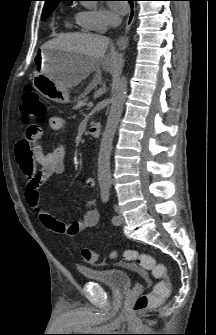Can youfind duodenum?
Returning a JSON list of instances; mask_svg holds the SVG:
<instances>
[{"label":"duodenum","mask_w":216,"mask_h":335,"mask_svg":"<svg viewBox=\"0 0 216 335\" xmlns=\"http://www.w3.org/2000/svg\"><path fill=\"white\" fill-rule=\"evenodd\" d=\"M101 126L99 123L92 124L89 127V134L91 137L97 138L100 134Z\"/></svg>","instance_id":"1"}]
</instances>
